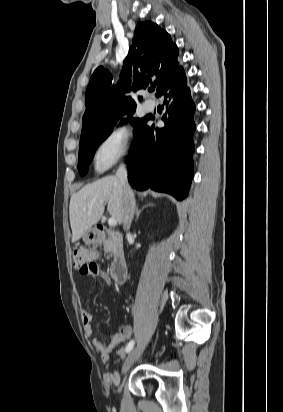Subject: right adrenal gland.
Wrapping results in <instances>:
<instances>
[{"label": "right adrenal gland", "instance_id": "1", "mask_svg": "<svg viewBox=\"0 0 283 412\" xmlns=\"http://www.w3.org/2000/svg\"><path fill=\"white\" fill-rule=\"evenodd\" d=\"M148 206H153V204L145 205L142 209H144ZM140 213H141V210L138 208V206H136V208H135V215H136L135 221L138 220Z\"/></svg>", "mask_w": 283, "mask_h": 412}]
</instances>
